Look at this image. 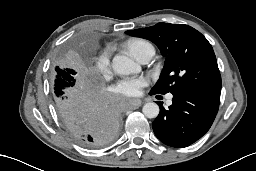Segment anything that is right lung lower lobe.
Listing matches in <instances>:
<instances>
[{"mask_svg":"<svg viewBox=\"0 0 256 171\" xmlns=\"http://www.w3.org/2000/svg\"><path fill=\"white\" fill-rule=\"evenodd\" d=\"M57 112L65 128L84 147L109 144L121 125L117 103L99 86L83 89L75 98L57 107Z\"/></svg>","mask_w":256,"mask_h":171,"instance_id":"98d812e1","label":"right lung lower lobe"}]
</instances>
